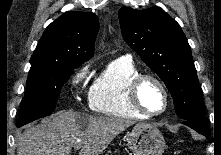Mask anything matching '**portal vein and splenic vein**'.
Here are the masks:
<instances>
[{
  "label": "portal vein and splenic vein",
  "instance_id": "obj_1",
  "mask_svg": "<svg viewBox=\"0 0 221 155\" xmlns=\"http://www.w3.org/2000/svg\"><path fill=\"white\" fill-rule=\"evenodd\" d=\"M79 148H80V145H78V146L75 147V149H79Z\"/></svg>",
  "mask_w": 221,
  "mask_h": 155
}]
</instances>
